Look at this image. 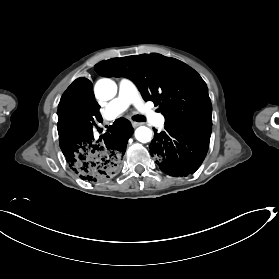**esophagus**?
Segmentation results:
<instances>
[{
  "label": "esophagus",
  "mask_w": 279,
  "mask_h": 279,
  "mask_svg": "<svg viewBox=\"0 0 279 279\" xmlns=\"http://www.w3.org/2000/svg\"><path fill=\"white\" fill-rule=\"evenodd\" d=\"M131 124H132L133 128H136L141 125V123L135 122V121H132Z\"/></svg>",
  "instance_id": "esophagus-1"
}]
</instances>
